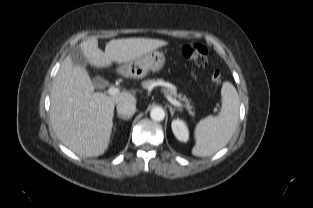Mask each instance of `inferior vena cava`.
<instances>
[{
    "mask_svg": "<svg viewBox=\"0 0 313 208\" xmlns=\"http://www.w3.org/2000/svg\"><path fill=\"white\" fill-rule=\"evenodd\" d=\"M136 111V104L131 101L119 102L117 112L122 116H132Z\"/></svg>",
    "mask_w": 313,
    "mask_h": 208,
    "instance_id": "obj_1",
    "label": "inferior vena cava"
}]
</instances>
